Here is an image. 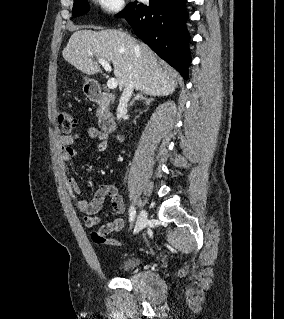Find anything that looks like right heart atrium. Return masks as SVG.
<instances>
[{"label":"right heart atrium","mask_w":284,"mask_h":319,"mask_svg":"<svg viewBox=\"0 0 284 319\" xmlns=\"http://www.w3.org/2000/svg\"><path fill=\"white\" fill-rule=\"evenodd\" d=\"M95 6L106 15L120 13L125 7L124 0H92Z\"/></svg>","instance_id":"d8ad5b80"}]
</instances>
